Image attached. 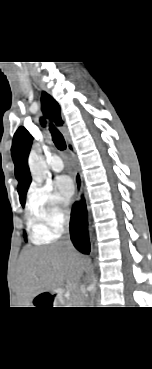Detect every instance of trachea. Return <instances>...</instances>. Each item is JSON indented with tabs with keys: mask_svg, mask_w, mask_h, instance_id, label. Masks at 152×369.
Returning <instances> with one entry per match:
<instances>
[{
	"mask_svg": "<svg viewBox=\"0 0 152 369\" xmlns=\"http://www.w3.org/2000/svg\"><path fill=\"white\" fill-rule=\"evenodd\" d=\"M50 131H51L52 139H53V142H54L55 146L59 150H65L66 143H65V140L63 138V135L54 126L50 127Z\"/></svg>",
	"mask_w": 152,
	"mask_h": 369,
	"instance_id": "trachea-1",
	"label": "trachea"
}]
</instances>
